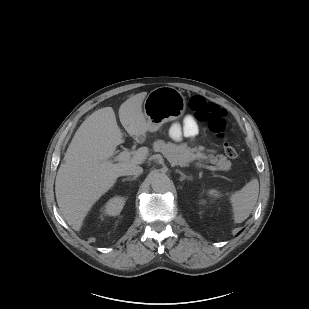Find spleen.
<instances>
[{"instance_id":"obj_1","label":"spleen","mask_w":309,"mask_h":309,"mask_svg":"<svg viewBox=\"0 0 309 309\" xmlns=\"http://www.w3.org/2000/svg\"><path fill=\"white\" fill-rule=\"evenodd\" d=\"M259 194V182L256 178L249 181L240 191L231 195L233 219L235 223L246 220L254 209ZM208 195L219 197L221 194L215 189H210Z\"/></svg>"}]
</instances>
